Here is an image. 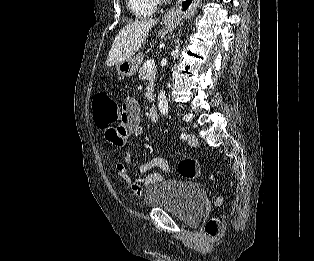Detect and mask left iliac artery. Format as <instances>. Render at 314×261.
Masks as SVG:
<instances>
[{
  "label": "left iliac artery",
  "instance_id": "obj_1",
  "mask_svg": "<svg viewBox=\"0 0 314 261\" xmlns=\"http://www.w3.org/2000/svg\"><path fill=\"white\" fill-rule=\"evenodd\" d=\"M180 137H181L183 140H186L188 136H187L185 133H182Z\"/></svg>",
  "mask_w": 314,
  "mask_h": 261
}]
</instances>
